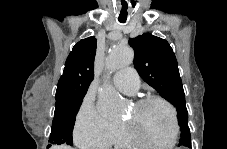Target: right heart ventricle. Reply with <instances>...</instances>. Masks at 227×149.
<instances>
[{
  "label": "right heart ventricle",
  "instance_id": "right-heart-ventricle-1",
  "mask_svg": "<svg viewBox=\"0 0 227 149\" xmlns=\"http://www.w3.org/2000/svg\"><path fill=\"white\" fill-rule=\"evenodd\" d=\"M115 145L118 147H131L139 145L136 143L128 134L125 126L123 124H120V129L118 136L115 140Z\"/></svg>",
  "mask_w": 227,
  "mask_h": 149
}]
</instances>
